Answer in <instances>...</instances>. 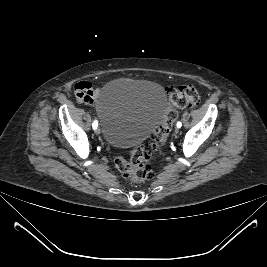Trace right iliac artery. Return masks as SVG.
Wrapping results in <instances>:
<instances>
[{"label": "right iliac artery", "mask_w": 267, "mask_h": 267, "mask_svg": "<svg viewBox=\"0 0 267 267\" xmlns=\"http://www.w3.org/2000/svg\"><path fill=\"white\" fill-rule=\"evenodd\" d=\"M97 126H98V123H97V121H94V122H93V124H92V127H93V129H96V128H97Z\"/></svg>", "instance_id": "right-iliac-artery-1"}]
</instances>
